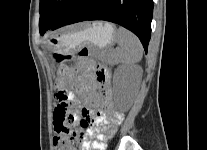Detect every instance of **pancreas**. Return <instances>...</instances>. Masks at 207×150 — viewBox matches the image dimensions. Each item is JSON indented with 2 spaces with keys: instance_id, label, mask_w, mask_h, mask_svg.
Masks as SVG:
<instances>
[{
  "instance_id": "1",
  "label": "pancreas",
  "mask_w": 207,
  "mask_h": 150,
  "mask_svg": "<svg viewBox=\"0 0 207 150\" xmlns=\"http://www.w3.org/2000/svg\"><path fill=\"white\" fill-rule=\"evenodd\" d=\"M101 59L104 62H107L109 64H116L117 63L116 55L112 50L102 52L101 53Z\"/></svg>"
}]
</instances>
